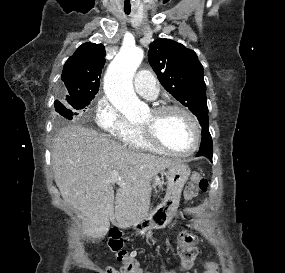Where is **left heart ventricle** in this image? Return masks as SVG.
Masks as SVG:
<instances>
[{
  "label": "left heart ventricle",
  "instance_id": "left-heart-ventricle-1",
  "mask_svg": "<svg viewBox=\"0 0 285 273\" xmlns=\"http://www.w3.org/2000/svg\"><path fill=\"white\" fill-rule=\"evenodd\" d=\"M140 125L153 127L161 142L175 151H187L194 141V129L189 119L180 112L156 115L147 113Z\"/></svg>",
  "mask_w": 285,
  "mask_h": 273
}]
</instances>
